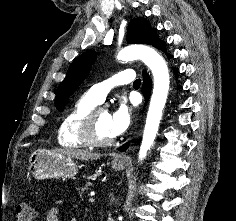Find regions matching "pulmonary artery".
Instances as JSON below:
<instances>
[{"label":"pulmonary artery","mask_w":236,"mask_h":221,"mask_svg":"<svg viewBox=\"0 0 236 221\" xmlns=\"http://www.w3.org/2000/svg\"><path fill=\"white\" fill-rule=\"evenodd\" d=\"M134 78H135V73L133 70L131 69L121 70L115 73L110 78L90 87L87 94L98 103H101L105 99L106 95L110 90H112L116 86L128 84L132 80H134Z\"/></svg>","instance_id":"e3ab8cb5"}]
</instances>
